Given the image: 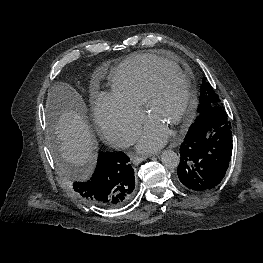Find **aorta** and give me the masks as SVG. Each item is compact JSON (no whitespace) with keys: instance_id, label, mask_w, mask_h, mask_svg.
Segmentation results:
<instances>
[{"instance_id":"aorta-1","label":"aorta","mask_w":263,"mask_h":263,"mask_svg":"<svg viewBox=\"0 0 263 263\" xmlns=\"http://www.w3.org/2000/svg\"><path fill=\"white\" fill-rule=\"evenodd\" d=\"M161 162L167 168H176L179 165L180 157L172 150H165L161 154Z\"/></svg>"}]
</instances>
